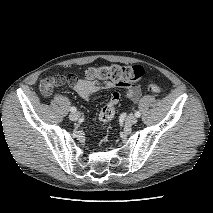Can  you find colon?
Wrapping results in <instances>:
<instances>
[{
  "instance_id": "1",
  "label": "colon",
  "mask_w": 213,
  "mask_h": 213,
  "mask_svg": "<svg viewBox=\"0 0 213 213\" xmlns=\"http://www.w3.org/2000/svg\"><path fill=\"white\" fill-rule=\"evenodd\" d=\"M84 74L85 77L90 80L110 81L119 86L130 88L137 86L144 75V69L140 65L123 66L112 64L88 68ZM52 79L57 83H71L74 81L75 76L60 73L52 77ZM149 90L152 92H160L162 88L159 85L151 84L149 85ZM118 101L119 94L115 92L110 96L109 101L100 112V119L103 122L110 123L113 120Z\"/></svg>"
}]
</instances>
